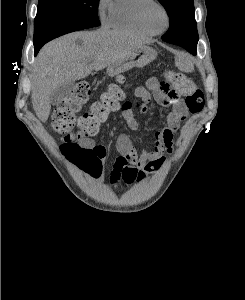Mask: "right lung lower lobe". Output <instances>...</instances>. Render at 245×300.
I'll use <instances>...</instances> for the list:
<instances>
[{
  "label": "right lung lower lobe",
  "instance_id": "1",
  "mask_svg": "<svg viewBox=\"0 0 245 300\" xmlns=\"http://www.w3.org/2000/svg\"><path fill=\"white\" fill-rule=\"evenodd\" d=\"M43 45H44V44H42L41 46L34 47L35 54L38 53V51L40 50V48H41Z\"/></svg>",
  "mask_w": 245,
  "mask_h": 300
}]
</instances>
